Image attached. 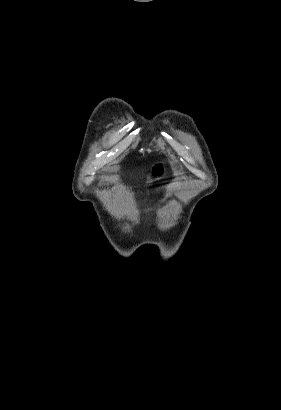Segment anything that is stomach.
<instances>
[{
	"label": "stomach",
	"instance_id": "stomach-1",
	"mask_svg": "<svg viewBox=\"0 0 281 410\" xmlns=\"http://www.w3.org/2000/svg\"><path fill=\"white\" fill-rule=\"evenodd\" d=\"M167 168L164 162H156L151 168V175L155 180L165 177Z\"/></svg>",
	"mask_w": 281,
	"mask_h": 410
}]
</instances>
